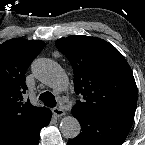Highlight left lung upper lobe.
Listing matches in <instances>:
<instances>
[{"label":"left lung upper lobe","instance_id":"obj_1","mask_svg":"<svg viewBox=\"0 0 145 145\" xmlns=\"http://www.w3.org/2000/svg\"><path fill=\"white\" fill-rule=\"evenodd\" d=\"M56 47L74 70L76 94L83 96L72 111L100 115H135L137 87L123 55L96 37L73 35L56 41Z\"/></svg>","mask_w":145,"mask_h":145}]
</instances>
